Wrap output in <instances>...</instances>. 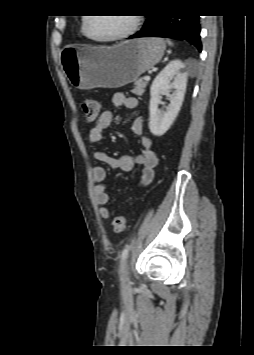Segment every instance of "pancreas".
Returning a JSON list of instances; mask_svg holds the SVG:
<instances>
[{
	"label": "pancreas",
	"mask_w": 254,
	"mask_h": 355,
	"mask_svg": "<svg viewBox=\"0 0 254 355\" xmlns=\"http://www.w3.org/2000/svg\"><path fill=\"white\" fill-rule=\"evenodd\" d=\"M147 86V81H143L141 79H139L138 81H136L135 83V87L132 90V93L138 96H142L143 93L145 92V88Z\"/></svg>",
	"instance_id": "obj_1"
}]
</instances>
